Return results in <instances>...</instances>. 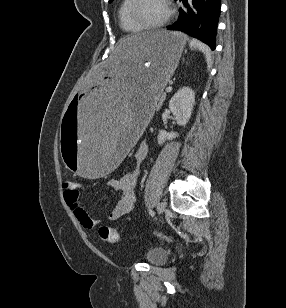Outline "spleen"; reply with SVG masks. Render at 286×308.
Masks as SVG:
<instances>
[{
	"instance_id": "1",
	"label": "spleen",
	"mask_w": 286,
	"mask_h": 308,
	"mask_svg": "<svg viewBox=\"0 0 286 308\" xmlns=\"http://www.w3.org/2000/svg\"><path fill=\"white\" fill-rule=\"evenodd\" d=\"M189 47L192 50L195 49V50H199L200 52H202L205 56L208 67L211 66V62H212L211 51H210V49L208 48L207 45H205L204 43H202L201 41H199L197 39H191L189 41Z\"/></svg>"
}]
</instances>
